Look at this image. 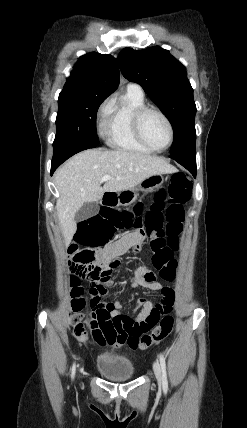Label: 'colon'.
<instances>
[{"mask_svg": "<svg viewBox=\"0 0 247 428\" xmlns=\"http://www.w3.org/2000/svg\"><path fill=\"white\" fill-rule=\"evenodd\" d=\"M191 188L190 178L184 173H177L172 176L168 190L158 192L155 203L145 206V217H119L125 213L120 210L119 204H104V212H93L92 217H86L85 222L80 225L74 241L88 248L75 245L70 254L76 271L90 282L92 294L96 298L94 302L91 300L93 312L89 320L96 340L102 338L110 345L127 344L132 349H146L164 340L172 331L174 319L169 315L172 299L132 301L136 306L152 307L151 317L127 320L110 316L108 305L100 299L106 293V283L119 261L105 264L95 251L97 243H101L100 239H119V232H129L130 226H135L136 230L146 233L150 238L152 264L159 271L160 277L168 282L174 281L177 268L174 253L179 247V235L183 230L185 216L184 205L191 197ZM133 213L137 216L140 212L136 209ZM73 284L74 333L83 335L87 334L81 322L85 302L76 278L73 279ZM161 316L165 317L161 319Z\"/></svg>", "mask_w": 247, "mask_h": 428, "instance_id": "5ec220e1", "label": "colon"}]
</instances>
